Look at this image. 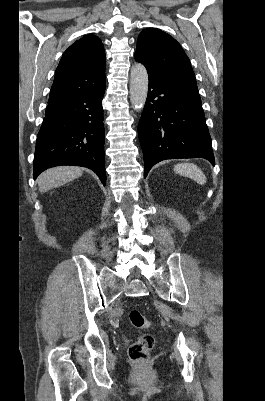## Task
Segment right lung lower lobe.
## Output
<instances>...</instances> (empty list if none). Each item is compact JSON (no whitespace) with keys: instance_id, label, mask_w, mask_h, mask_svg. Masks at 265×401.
<instances>
[{"instance_id":"98d812e1","label":"right lung lower lobe","mask_w":265,"mask_h":401,"mask_svg":"<svg viewBox=\"0 0 265 401\" xmlns=\"http://www.w3.org/2000/svg\"><path fill=\"white\" fill-rule=\"evenodd\" d=\"M104 91L105 86L48 103L36 141L34 179L48 168L75 165L90 168L105 185Z\"/></svg>"}]
</instances>
